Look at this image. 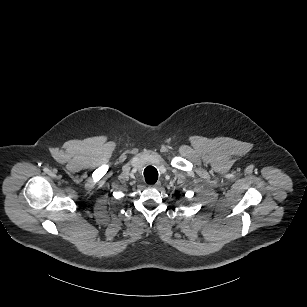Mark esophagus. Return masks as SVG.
I'll return each instance as SVG.
<instances>
[{
    "label": "esophagus",
    "instance_id": "esophagus-1",
    "mask_svg": "<svg viewBox=\"0 0 307 307\" xmlns=\"http://www.w3.org/2000/svg\"><path fill=\"white\" fill-rule=\"evenodd\" d=\"M161 186V182L160 181H157L154 185H153V187H155V188H159Z\"/></svg>",
    "mask_w": 307,
    "mask_h": 307
}]
</instances>
